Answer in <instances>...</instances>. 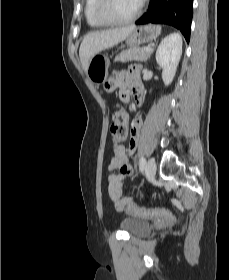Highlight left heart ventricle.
I'll use <instances>...</instances> for the list:
<instances>
[{"label": "left heart ventricle", "instance_id": "b2bd125f", "mask_svg": "<svg viewBox=\"0 0 229 280\" xmlns=\"http://www.w3.org/2000/svg\"><path fill=\"white\" fill-rule=\"evenodd\" d=\"M138 0H110L108 5V15L114 18H127L139 7Z\"/></svg>", "mask_w": 229, "mask_h": 280}]
</instances>
